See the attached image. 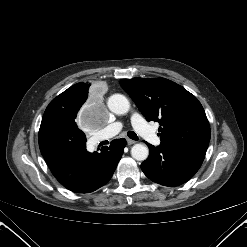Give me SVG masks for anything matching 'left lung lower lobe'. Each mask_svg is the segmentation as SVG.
I'll use <instances>...</instances> for the list:
<instances>
[{"label": "left lung lower lobe", "mask_w": 247, "mask_h": 247, "mask_svg": "<svg viewBox=\"0 0 247 247\" xmlns=\"http://www.w3.org/2000/svg\"><path fill=\"white\" fill-rule=\"evenodd\" d=\"M209 141L186 140L154 147L147 143L150 154L141 164L144 174L164 186H178L192 178L200 168Z\"/></svg>", "instance_id": "1"}]
</instances>
